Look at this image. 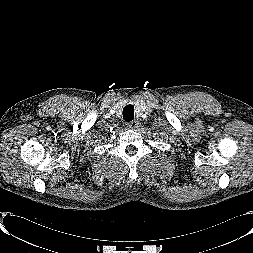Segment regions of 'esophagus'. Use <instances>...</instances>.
Masks as SVG:
<instances>
[{"label":"esophagus","mask_w":253,"mask_h":253,"mask_svg":"<svg viewBox=\"0 0 253 253\" xmlns=\"http://www.w3.org/2000/svg\"><path fill=\"white\" fill-rule=\"evenodd\" d=\"M129 129H136L139 126V123L137 120H133L126 124Z\"/></svg>","instance_id":"34e87169"}]
</instances>
